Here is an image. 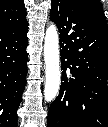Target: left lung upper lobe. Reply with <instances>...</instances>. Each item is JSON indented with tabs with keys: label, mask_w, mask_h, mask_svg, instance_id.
Instances as JSON below:
<instances>
[{
	"label": "left lung upper lobe",
	"mask_w": 108,
	"mask_h": 127,
	"mask_svg": "<svg viewBox=\"0 0 108 127\" xmlns=\"http://www.w3.org/2000/svg\"><path fill=\"white\" fill-rule=\"evenodd\" d=\"M84 1L93 2V3L97 4L102 9V5L99 0H84Z\"/></svg>",
	"instance_id": "obj_1"
}]
</instances>
